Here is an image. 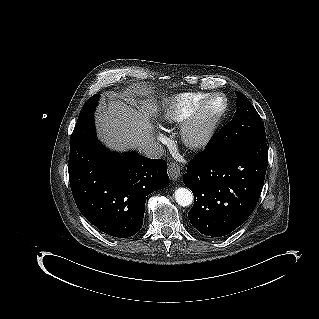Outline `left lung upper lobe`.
Listing matches in <instances>:
<instances>
[{
  "instance_id": "5c2ea615",
  "label": "left lung upper lobe",
  "mask_w": 319,
  "mask_h": 319,
  "mask_svg": "<svg viewBox=\"0 0 319 319\" xmlns=\"http://www.w3.org/2000/svg\"><path fill=\"white\" fill-rule=\"evenodd\" d=\"M237 110L229 124L222 128L206 146L204 152L216 154L249 144L266 142L265 129L256 109L242 93L235 91Z\"/></svg>"
}]
</instances>
